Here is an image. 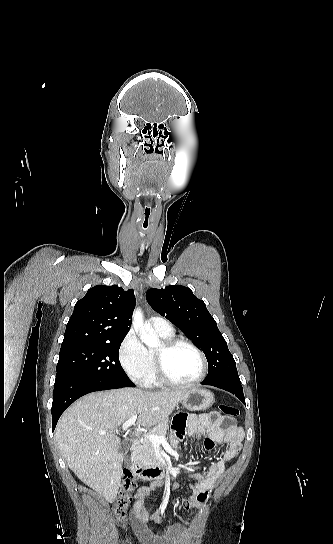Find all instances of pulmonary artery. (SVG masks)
<instances>
[{"label":"pulmonary artery","instance_id":"e3ab8cb5","mask_svg":"<svg viewBox=\"0 0 333 544\" xmlns=\"http://www.w3.org/2000/svg\"><path fill=\"white\" fill-rule=\"evenodd\" d=\"M148 323L154 328L156 332L162 334H171L173 333V328L171 324L161 317H151L148 320Z\"/></svg>","mask_w":333,"mask_h":544}]
</instances>
